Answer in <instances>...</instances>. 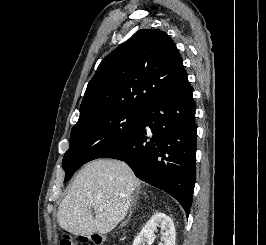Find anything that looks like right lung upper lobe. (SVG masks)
<instances>
[{
    "instance_id": "cb5924a9",
    "label": "right lung upper lobe",
    "mask_w": 266,
    "mask_h": 245,
    "mask_svg": "<svg viewBox=\"0 0 266 245\" xmlns=\"http://www.w3.org/2000/svg\"><path fill=\"white\" fill-rule=\"evenodd\" d=\"M187 81L170 36L141 29L100 63L88 83L80 118L107 108L146 110L168 90Z\"/></svg>"
}]
</instances>
